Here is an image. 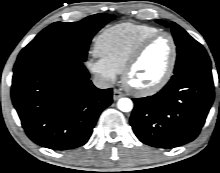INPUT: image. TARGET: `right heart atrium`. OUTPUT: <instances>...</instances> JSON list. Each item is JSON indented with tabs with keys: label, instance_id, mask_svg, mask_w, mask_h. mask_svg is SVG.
<instances>
[{
	"label": "right heart atrium",
	"instance_id": "right-heart-atrium-1",
	"mask_svg": "<svg viewBox=\"0 0 220 173\" xmlns=\"http://www.w3.org/2000/svg\"><path fill=\"white\" fill-rule=\"evenodd\" d=\"M88 67L106 82H114L117 78L116 71L109 67L101 58L90 59L88 61Z\"/></svg>",
	"mask_w": 220,
	"mask_h": 173
}]
</instances>
